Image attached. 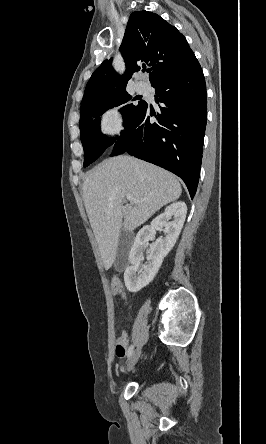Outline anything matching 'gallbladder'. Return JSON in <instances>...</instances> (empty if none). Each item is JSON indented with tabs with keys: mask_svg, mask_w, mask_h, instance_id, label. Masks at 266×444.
I'll use <instances>...</instances> for the list:
<instances>
[{
	"mask_svg": "<svg viewBox=\"0 0 266 444\" xmlns=\"http://www.w3.org/2000/svg\"><path fill=\"white\" fill-rule=\"evenodd\" d=\"M131 243V234L125 229L121 230L117 247L116 259L114 262L115 270L121 272L126 264L128 251Z\"/></svg>",
	"mask_w": 266,
	"mask_h": 444,
	"instance_id": "1",
	"label": "gallbladder"
}]
</instances>
